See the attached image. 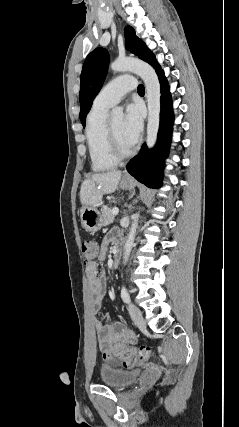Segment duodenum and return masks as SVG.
<instances>
[{
	"instance_id": "duodenum-1",
	"label": "duodenum",
	"mask_w": 239,
	"mask_h": 427,
	"mask_svg": "<svg viewBox=\"0 0 239 427\" xmlns=\"http://www.w3.org/2000/svg\"><path fill=\"white\" fill-rule=\"evenodd\" d=\"M121 260V246L120 243H117L114 249V256H113V266L117 268L120 264Z\"/></svg>"
}]
</instances>
